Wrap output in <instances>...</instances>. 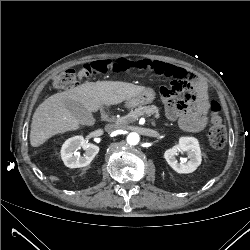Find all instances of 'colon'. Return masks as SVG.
Masks as SVG:
<instances>
[{
  "label": "colon",
  "instance_id": "obj_1",
  "mask_svg": "<svg viewBox=\"0 0 250 250\" xmlns=\"http://www.w3.org/2000/svg\"><path fill=\"white\" fill-rule=\"evenodd\" d=\"M132 63L125 59L118 60H98L84 65L83 74L87 76H99L105 74H121L129 70ZM187 78L189 80H197V76L194 74H188ZM171 87V91H183L182 85L183 80L176 77ZM77 82V73L73 68H68L63 70L53 79L54 87L58 89H68L73 87ZM185 99L188 101H194L197 97L196 93L187 89L184 93ZM220 107L215 101L210 103V121L211 125L208 131V139L210 144L216 148L220 149L225 146L227 141V132L222 124L221 117L219 115Z\"/></svg>",
  "mask_w": 250,
  "mask_h": 250
}]
</instances>
